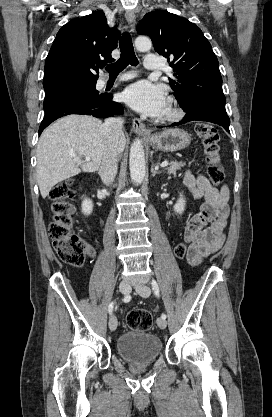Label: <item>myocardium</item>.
<instances>
[{"label": "myocardium", "instance_id": "obj_1", "mask_svg": "<svg viewBox=\"0 0 272 417\" xmlns=\"http://www.w3.org/2000/svg\"><path fill=\"white\" fill-rule=\"evenodd\" d=\"M184 113L181 107L174 99H170L168 108L162 116L164 122H175L183 117Z\"/></svg>", "mask_w": 272, "mask_h": 417}]
</instances>
